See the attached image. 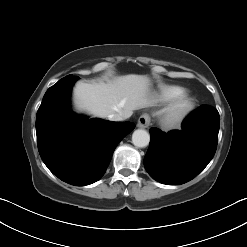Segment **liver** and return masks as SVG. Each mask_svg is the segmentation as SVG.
<instances>
[{
  "instance_id": "liver-1",
  "label": "liver",
  "mask_w": 247,
  "mask_h": 247,
  "mask_svg": "<svg viewBox=\"0 0 247 247\" xmlns=\"http://www.w3.org/2000/svg\"><path fill=\"white\" fill-rule=\"evenodd\" d=\"M149 93V77L128 74L115 77L108 83L78 82L73 102L78 111L105 118L112 113L132 112L151 106Z\"/></svg>"
}]
</instances>
